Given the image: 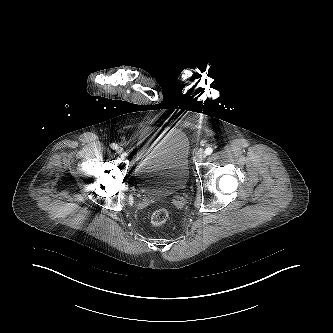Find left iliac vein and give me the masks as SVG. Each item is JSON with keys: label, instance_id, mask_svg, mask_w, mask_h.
I'll return each mask as SVG.
<instances>
[{"label": "left iliac vein", "instance_id": "left-iliac-vein-1", "mask_svg": "<svg viewBox=\"0 0 333 333\" xmlns=\"http://www.w3.org/2000/svg\"><path fill=\"white\" fill-rule=\"evenodd\" d=\"M206 157V153L203 150H199L196 154L197 160H203Z\"/></svg>", "mask_w": 333, "mask_h": 333}]
</instances>
